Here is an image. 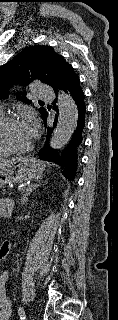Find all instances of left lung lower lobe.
Returning <instances> with one entry per match:
<instances>
[{"mask_svg": "<svg viewBox=\"0 0 118 320\" xmlns=\"http://www.w3.org/2000/svg\"><path fill=\"white\" fill-rule=\"evenodd\" d=\"M58 90L64 91L65 93L71 95L72 99L74 100L78 110L77 125L65 150L62 153H58L49 146L50 136L54 130V127L57 125V116H55L53 125L47 126L48 114L46 113L43 116V121L45 127L47 128V137L46 142L43 148L38 152V155L41 160L54 162L60 165L63 169L64 176H66V178L69 180H73L77 169L78 150L80 149L83 140L86 105L84 102V93L80 85V79L73 70L69 72L65 80L55 90L56 94ZM53 104H55V101ZM54 110L57 111L56 106H54Z\"/></svg>", "mask_w": 118, "mask_h": 320, "instance_id": "obj_1", "label": "left lung lower lobe"}]
</instances>
